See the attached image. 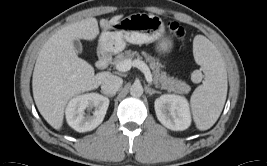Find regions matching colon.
<instances>
[{"label":"colon","mask_w":267,"mask_h":166,"mask_svg":"<svg viewBox=\"0 0 267 166\" xmlns=\"http://www.w3.org/2000/svg\"><path fill=\"white\" fill-rule=\"evenodd\" d=\"M168 29L170 33L180 42L184 44L185 42V37H186V32L184 27L177 23V22H169L168 23Z\"/></svg>","instance_id":"1"}]
</instances>
